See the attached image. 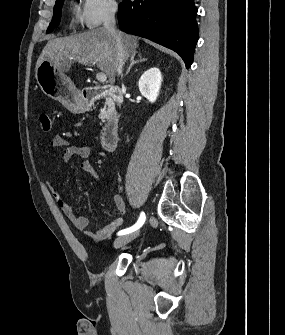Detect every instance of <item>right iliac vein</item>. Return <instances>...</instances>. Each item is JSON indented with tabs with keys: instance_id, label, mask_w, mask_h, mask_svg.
<instances>
[{
	"instance_id": "1",
	"label": "right iliac vein",
	"mask_w": 285,
	"mask_h": 335,
	"mask_svg": "<svg viewBox=\"0 0 285 335\" xmlns=\"http://www.w3.org/2000/svg\"><path fill=\"white\" fill-rule=\"evenodd\" d=\"M138 234H139V232L136 231L134 233L121 236L114 241V246L116 248H120V247L128 244L129 242H131L133 239H135L138 236Z\"/></svg>"
}]
</instances>
